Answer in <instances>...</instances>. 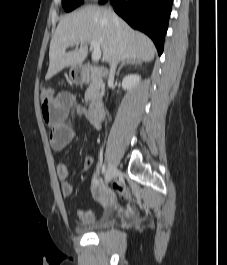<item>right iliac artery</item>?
I'll use <instances>...</instances> for the list:
<instances>
[{"label":"right iliac artery","mask_w":227,"mask_h":265,"mask_svg":"<svg viewBox=\"0 0 227 265\" xmlns=\"http://www.w3.org/2000/svg\"><path fill=\"white\" fill-rule=\"evenodd\" d=\"M105 171H106V168H105V165H103V167H102V173L104 174ZM107 172H108V169H107V171H106L105 177H106V175H107Z\"/></svg>","instance_id":"right-iliac-artery-1"}]
</instances>
